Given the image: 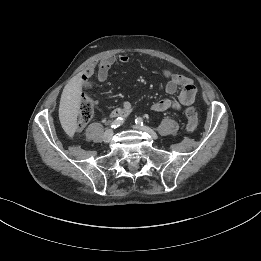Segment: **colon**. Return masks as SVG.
Listing matches in <instances>:
<instances>
[{"mask_svg": "<svg viewBox=\"0 0 261 261\" xmlns=\"http://www.w3.org/2000/svg\"><path fill=\"white\" fill-rule=\"evenodd\" d=\"M94 114V102L91 97L85 96L79 106L77 124L79 127L85 126ZM187 119L186 128L189 132H194L198 125V113L194 107H187L184 111Z\"/></svg>", "mask_w": 261, "mask_h": 261, "instance_id": "obj_1", "label": "colon"}]
</instances>
